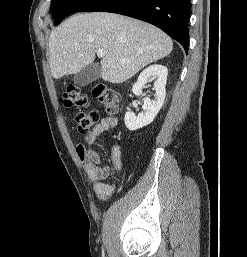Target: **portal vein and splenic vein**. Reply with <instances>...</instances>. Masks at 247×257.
Wrapping results in <instances>:
<instances>
[{"label":"portal vein and splenic vein","instance_id":"1","mask_svg":"<svg viewBox=\"0 0 247 257\" xmlns=\"http://www.w3.org/2000/svg\"><path fill=\"white\" fill-rule=\"evenodd\" d=\"M97 55H98V57H104L105 51L100 49V50L97 51Z\"/></svg>","mask_w":247,"mask_h":257}]
</instances>
